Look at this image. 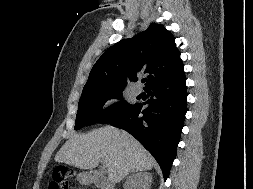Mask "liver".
Returning a JSON list of instances; mask_svg holds the SVG:
<instances>
[{
	"mask_svg": "<svg viewBox=\"0 0 253 189\" xmlns=\"http://www.w3.org/2000/svg\"><path fill=\"white\" fill-rule=\"evenodd\" d=\"M55 161L80 169H93L102 162L112 183L120 182L130 172L150 170L155 163L134 137L111 126L72 136L56 154Z\"/></svg>",
	"mask_w": 253,
	"mask_h": 189,
	"instance_id": "6515ba94",
	"label": "liver"
}]
</instances>
